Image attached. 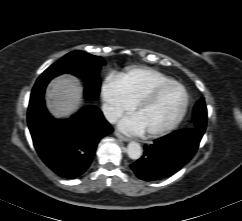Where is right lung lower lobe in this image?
Segmentation results:
<instances>
[{
  "label": "right lung lower lobe",
  "instance_id": "1",
  "mask_svg": "<svg viewBox=\"0 0 242 221\" xmlns=\"http://www.w3.org/2000/svg\"><path fill=\"white\" fill-rule=\"evenodd\" d=\"M28 127L43 162L64 178H76L90 166L99 140L113 131L102 112L83 107L66 122L56 121L47 111L44 91L31 94Z\"/></svg>",
  "mask_w": 242,
  "mask_h": 221
}]
</instances>
